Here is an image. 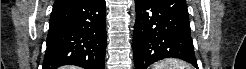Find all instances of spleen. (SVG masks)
<instances>
[{"mask_svg":"<svg viewBox=\"0 0 246 69\" xmlns=\"http://www.w3.org/2000/svg\"><path fill=\"white\" fill-rule=\"evenodd\" d=\"M154 69H192L188 63L178 59H165L154 65Z\"/></svg>","mask_w":246,"mask_h":69,"instance_id":"1","label":"spleen"}]
</instances>
